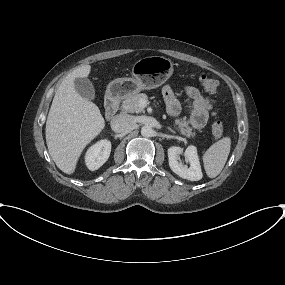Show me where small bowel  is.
Returning <instances> with one entry per match:
<instances>
[{"label": "small bowel", "mask_w": 285, "mask_h": 285, "mask_svg": "<svg viewBox=\"0 0 285 285\" xmlns=\"http://www.w3.org/2000/svg\"><path fill=\"white\" fill-rule=\"evenodd\" d=\"M185 93L190 107V123L195 129L203 128L209 117V110L212 108L211 100L208 96H203L199 90L193 86H185ZM167 111L171 116H177L180 112V104L170 85H165L162 90Z\"/></svg>", "instance_id": "small-bowel-1"}]
</instances>
